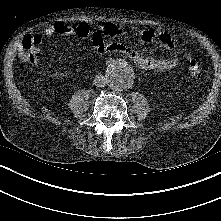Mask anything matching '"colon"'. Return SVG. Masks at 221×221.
<instances>
[{"label":"colon","instance_id":"1","mask_svg":"<svg viewBox=\"0 0 221 221\" xmlns=\"http://www.w3.org/2000/svg\"><path fill=\"white\" fill-rule=\"evenodd\" d=\"M39 40L36 37H25L19 47V58L24 64H34L37 62L39 53ZM188 73L196 81L200 80L201 67L200 64L192 59L188 63Z\"/></svg>","mask_w":221,"mask_h":221}]
</instances>
